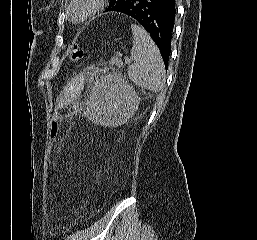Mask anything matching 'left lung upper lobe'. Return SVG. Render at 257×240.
Masks as SVG:
<instances>
[{
	"label": "left lung upper lobe",
	"mask_w": 257,
	"mask_h": 240,
	"mask_svg": "<svg viewBox=\"0 0 257 240\" xmlns=\"http://www.w3.org/2000/svg\"><path fill=\"white\" fill-rule=\"evenodd\" d=\"M124 0H110V3H109V6L108 8L106 9L107 10H110L112 8H115L117 7L118 5H120Z\"/></svg>",
	"instance_id": "5c2ea615"
}]
</instances>
